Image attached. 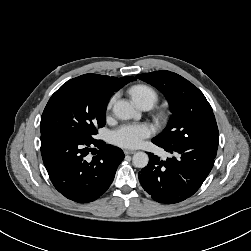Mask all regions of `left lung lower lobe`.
I'll return each instance as SVG.
<instances>
[{
  "label": "left lung lower lobe",
  "instance_id": "1",
  "mask_svg": "<svg viewBox=\"0 0 251 251\" xmlns=\"http://www.w3.org/2000/svg\"><path fill=\"white\" fill-rule=\"evenodd\" d=\"M152 142L178 157L160 160L149 154V163L139 174V181L152 198L173 204L192 196L210 173L217 154L218 139L197 138L171 146Z\"/></svg>",
  "mask_w": 251,
  "mask_h": 251
}]
</instances>
